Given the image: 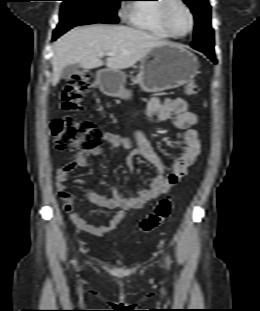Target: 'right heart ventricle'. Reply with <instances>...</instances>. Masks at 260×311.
<instances>
[{"mask_svg":"<svg viewBox=\"0 0 260 311\" xmlns=\"http://www.w3.org/2000/svg\"><path fill=\"white\" fill-rule=\"evenodd\" d=\"M136 2L157 3H135L129 6L126 14L128 22L134 27L146 31L159 38H169L170 35L162 27L159 20V6L162 0H135Z\"/></svg>","mask_w":260,"mask_h":311,"instance_id":"right-heart-ventricle-1","label":"right heart ventricle"}]
</instances>
